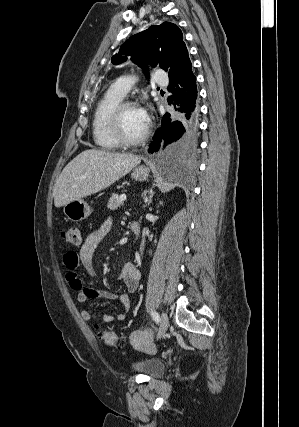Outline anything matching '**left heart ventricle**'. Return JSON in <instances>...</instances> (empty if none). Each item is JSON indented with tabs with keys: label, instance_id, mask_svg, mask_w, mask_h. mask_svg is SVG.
I'll return each instance as SVG.
<instances>
[{
	"label": "left heart ventricle",
	"instance_id": "b2bd125f",
	"mask_svg": "<svg viewBox=\"0 0 299 427\" xmlns=\"http://www.w3.org/2000/svg\"><path fill=\"white\" fill-rule=\"evenodd\" d=\"M121 125L123 134L130 139L137 138L146 129L137 108L128 107L122 113Z\"/></svg>",
	"mask_w": 299,
	"mask_h": 427
}]
</instances>
